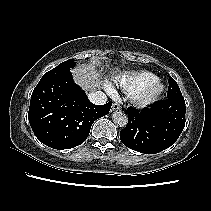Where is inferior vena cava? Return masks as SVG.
<instances>
[{
	"label": "inferior vena cava",
	"mask_w": 211,
	"mask_h": 211,
	"mask_svg": "<svg viewBox=\"0 0 211 211\" xmlns=\"http://www.w3.org/2000/svg\"><path fill=\"white\" fill-rule=\"evenodd\" d=\"M89 100L96 105H103L107 102V96L101 91H95L88 95Z\"/></svg>",
	"instance_id": "602c4592"
}]
</instances>
